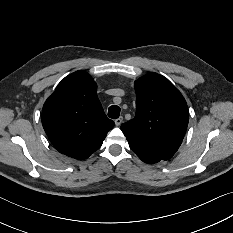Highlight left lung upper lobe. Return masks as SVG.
Wrapping results in <instances>:
<instances>
[{
    "mask_svg": "<svg viewBox=\"0 0 233 233\" xmlns=\"http://www.w3.org/2000/svg\"><path fill=\"white\" fill-rule=\"evenodd\" d=\"M136 115L122 124L130 148L158 160H168L185 135L189 112L178 89L165 77L151 73L134 83Z\"/></svg>",
    "mask_w": 233,
    "mask_h": 233,
    "instance_id": "1",
    "label": "left lung upper lobe"
}]
</instances>
